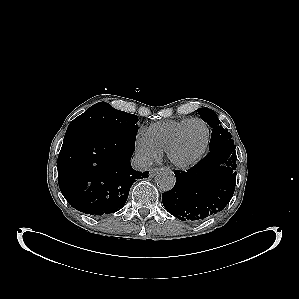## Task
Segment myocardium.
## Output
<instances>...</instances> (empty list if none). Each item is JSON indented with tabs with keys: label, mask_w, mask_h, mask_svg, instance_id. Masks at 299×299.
Instances as JSON below:
<instances>
[{
	"label": "myocardium",
	"mask_w": 299,
	"mask_h": 299,
	"mask_svg": "<svg viewBox=\"0 0 299 299\" xmlns=\"http://www.w3.org/2000/svg\"><path fill=\"white\" fill-rule=\"evenodd\" d=\"M193 122H199L205 127L206 136H205L204 143H203L202 147L200 148V150L192 158H190L189 160H186V161H179L174 158L173 152L176 149V147L178 146L184 130L186 129V127L189 124H191ZM209 139H210V129H209L207 123L200 118L189 119L177 130V132L175 133L171 142L165 149L166 158L169 161V163H171L174 167L179 168V169H188V168L194 166L202 158V156L204 155V153L208 147Z\"/></svg>",
	"instance_id": "myocardium-1"
}]
</instances>
